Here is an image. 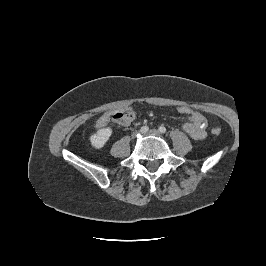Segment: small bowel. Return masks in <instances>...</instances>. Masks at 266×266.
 <instances>
[{
    "label": "small bowel",
    "mask_w": 266,
    "mask_h": 266,
    "mask_svg": "<svg viewBox=\"0 0 266 266\" xmlns=\"http://www.w3.org/2000/svg\"><path fill=\"white\" fill-rule=\"evenodd\" d=\"M111 118V114L109 112H106L102 114L97 120H96V127L97 128H103L105 127ZM135 118L134 117L124 123L123 125L127 126L129 125ZM206 127H207V120L206 118L198 113L195 112L193 115L188 117V120L183 123V129L184 131L194 140H202L206 137Z\"/></svg>",
    "instance_id": "c3829d8e"
}]
</instances>
